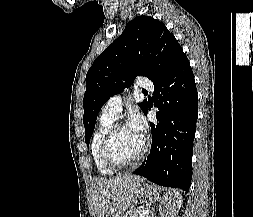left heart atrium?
Here are the masks:
<instances>
[{
	"instance_id": "1",
	"label": "left heart atrium",
	"mask_w": 253,
	"mask_h": 217,
	"mask_svg": "<svg viewBox=\"0 0 253 217\" xmlns=\"http://www.w3.org/2000/svg\"><path fill=\"white\" fill-rule=\"evenodd\" d=\"M130 128H132L139 135L144 137V133L146 130V123L143 116L138 112H133L129 118L128 124Z\"/></svg>"
}]
</instances>
